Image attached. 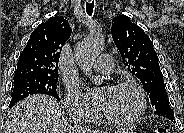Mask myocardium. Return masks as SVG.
Wrapping results in <instances>:
<instances>
[{"instance_id":"obj_1","label":"myocardium","mask_w":184,"mask_h":133,"mask_svg":"<svg viewBox=\"0 0 184 133\" xmlns=\"http://www.w3.org/2000/svg\"><path fill=\"white\" fill-rule=\"evenodd\" d=\"M113 88L131 89L135 93L137 100H138L137 110L135 111V113H133L129 117H126L123 119H115V118L105 115L104 113H102V118L114 126H128V125H131L139 121L141 117L144 115L146 111V106H147L145 94L142 88L139 86V84L136 83L135 81L124 80V81H119L116 84H114Z\"/></svg>"}]
</instances>
